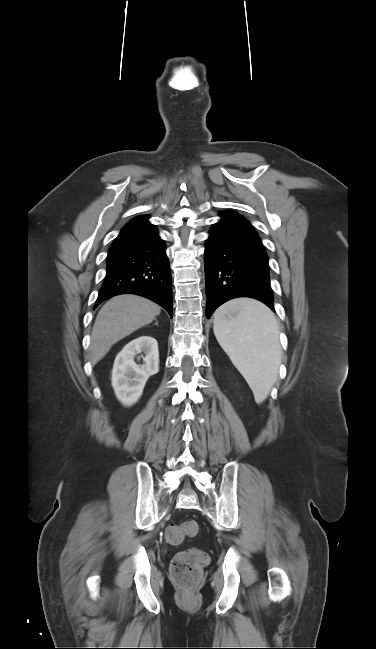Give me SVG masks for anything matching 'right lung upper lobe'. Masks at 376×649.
<instances>
[{"instance_id": "1", "label": "right lung upper lobe", "mask_w": 376, "mask_h": 649, "mask_svg": "<svg viewBox=\"0 0 376 649\" xmlns=\"http://www.w3.org/2000/svg\"><path fill=\"white\" fill-rule=\"evenodd\" d=\"M149 216H139L131 220L120 232L116 239L132 236L135 234L143 233L156 229V226L148 222Z\"/></svg>"}]
</instances>
